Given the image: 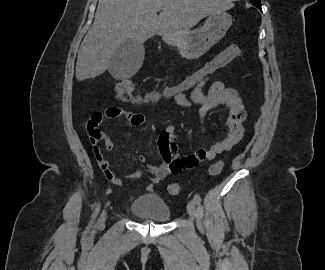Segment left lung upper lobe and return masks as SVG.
<instances>
[{"instance_id": "obj_1", "label": "left lung upper lobe", "mask_w": 325, "mask_h": 270, "mask_svg": "<svg viewBox=\"0 0 325 270\" xmlns=\"http://www.w3.org/2000/svg\"><path fill=\"white\" fill-rule=\"evenodd\" d=\"M250 2H251L254 6H261V2H260V0H250Z\"/></svg>"}]
</instances>
